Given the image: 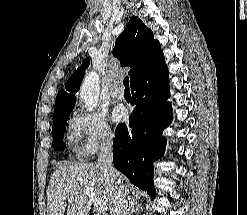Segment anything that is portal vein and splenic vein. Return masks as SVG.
<instances>
[{
    "mask_svg": "<svg viewBox=\"0 0 247 215\" xmlns=\"http://www.w3.org/2000/svg\"><path fill=\"white\" fill-rule=\"evenodd\" d=\"M84 192L92 200L94 207L96 208L97 211H99V212H106L107 211L108 207H107L106 202H104L101 199H95L94 194L89 190H86Z\"/></svg>",
    "mask_w": 247,
    "mask_h": 215,
    "instance_id": "portal-vein-and-splenic-vein-1",
    "label": "portal vein and splenic vein"
}]
</instances>
